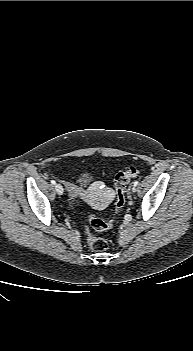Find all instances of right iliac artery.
I'll return each instance as SVG.
<instances>
[{
	"label": "right iliac artery",
	"mask_w": 193,
	"mask_h": 351,
	"mask_svg": "<svg viewBox=\"0 0 193 351\" xmlns=\"http://www.w3.org/2000/svg\"><path fill=\"white\" fill-rule=\"evenodd\" d=\"M51 183H52L53 185H55V184H56V181H55V180H51Z\"/></svg>",
	"instance_id": "obj_1"
}]
</instances>
